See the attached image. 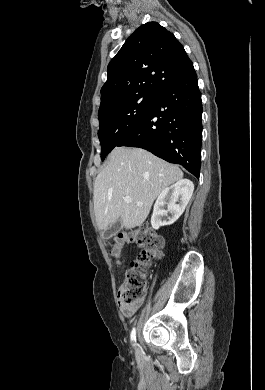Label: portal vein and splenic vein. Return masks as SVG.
Instances as JSON below:
<instances>
[{"label": "portal vein and splenic vein", "mask_w": 265, "mask_h": 390, "mask_svg": "<svg viewBox=\"0 0 265 390\" xmlns=\"http://www.w3.org/2000/svg\"><path fill=\"white\" fill-rule=\"evenodd\" d=\"M125 203H130L132 199L129 196H126L123 198ZM138 206H142L143 204L141 202L137 203Z\"/></svg>", "instance_id": "obj_1"}]
</instances>
